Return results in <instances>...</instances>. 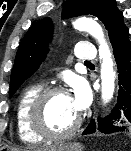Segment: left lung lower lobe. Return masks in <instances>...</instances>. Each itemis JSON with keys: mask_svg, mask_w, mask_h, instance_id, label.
<instances>
[{"mask_svg": "<svg viewBox=\"0 0 131 151\" xmlns=\"http://www.w3.org/2000/svg\"><path fill=\"white\" fill-rule=\"evenodd\" d=\"M113 53L118 66L119 91L118 100L111 113L92 120L83 134H91L96 130L104 134L121 132L131 134V41L129 34L117 38L113 43Z\"/></svg>", "mask_w": 131, "mask_h": 151, "instance_id": "1", "label": "left lung lower lobe"}]
</instances>
